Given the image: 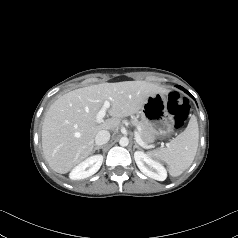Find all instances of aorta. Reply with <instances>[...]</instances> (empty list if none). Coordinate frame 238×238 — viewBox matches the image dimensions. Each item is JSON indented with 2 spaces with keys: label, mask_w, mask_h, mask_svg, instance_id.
Returning a JSON list of instances; mask_svg holds the SVG:
<instances>
[{
  "label": "aorta",
  "mask_w": 238,
  "mask_h": 238,
  "mask_svg": "<svg viewBox=\"0 0 238 238\" xmlns=\"http://www.w3.org/2000/svg\"><path fill=\"white\" fill-rule=\"evenodd\" d=\"M120 146L125 147L129 144V140L127 137H122L119 141Z\"/></svg>",
  "instance_id": "aorta-1"
}]
</instances>
